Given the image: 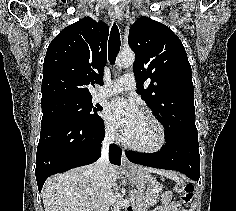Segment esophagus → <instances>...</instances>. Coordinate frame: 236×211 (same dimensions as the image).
<instances>
[{"label": "esophagus", "mask_w": 236, "mask_h": 211, "mask_svg": "<svg viewBox=\"0 0 236 211\" xmlns=\"http://www.w3.org/2000/svg\"><path fill=\"white\" fill-rule=\"evenodd\" d=\"M109 16L112 20H116L118 18L117 10L116 9H109ZM121 166L123 168L133 167V164L130 163L129 160L127 159L125 151H122Z\"/></svg>", "instance_id": "obj_1"}]
</instances>
